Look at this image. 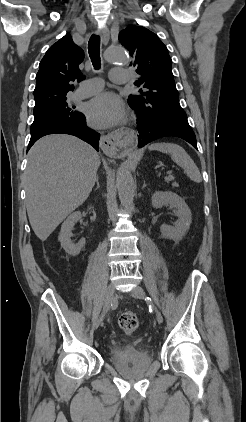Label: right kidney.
Listing matches in <instances>:
<instances>
[{
	"mask_svg": "<svg viewBox=\"0 0 246 422\" xmlns=\"http://www.w3.org/2000/svg\"><path fill=\"white\" fill-rule=\"evenodd\" d=\"M90 207L89 209H92ZM82 215L81 212H74L72 213L62 224L61 231L59 234V240L61 242V246L71 256H76L80 253L81 249L85 245V239H81L77 244H74L71 241L72 229L80 219Z\"/></svg>",
	"mask_w": 246,
	"mask_h": 422,
	"instance_id": "right-kidney-1",
	"label": "right kidney"
}]
</instances>
